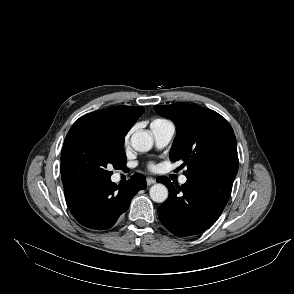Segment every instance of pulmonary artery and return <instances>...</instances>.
<instances>
[{
	"instance_id": "1",
	"label": "pulmonary artery",
	"mask_w": 294,
	"mask_h": 294,
	"mask_svg": "<svg viewBox=\"0 0 294 294\" xmlns=\"http://www.w3.org/2000/svg\"><path fill=\"white\" fill-rule=\"evenodd\" d=\"M150 128L155 144L159 149L164 148L170 143L175 132L174 124L169 121L162 124L152 125ZM186 182L187 177L185 175H181L179 177V183L185 184Z\"/></svg>"
}]
</instances>
